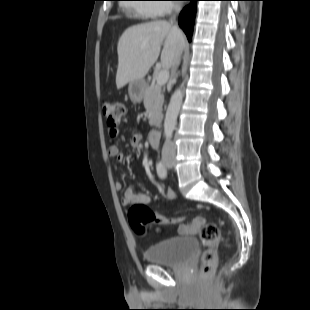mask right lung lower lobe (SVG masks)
Here are the masks:
<instances>
[{
  "label": "right lung lower lobe",
  "instance_id": "obj_1",
  "mask_svg": "<svg viewBox=\"0 0 310 310\" xmlns=\"http://www.w3.org/2000/svg\"><path fill=\"white\" fill-rule=\"evenodd\" d=\"M189 1L190 4L186 6L179 15V26L185 32L188 40L191 41L198 0Z\"/></svg>",
  "mask_w": 310,
  "mask_h": 310
}]
</instances>
